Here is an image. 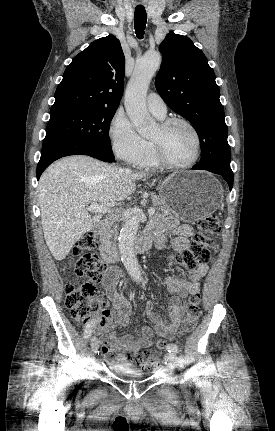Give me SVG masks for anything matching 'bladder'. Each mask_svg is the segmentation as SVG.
<instances>
[{
	"instance_id": "obj_1",
	"label": "bladder",
	"mask_w": 275,
	"mask_h": 431,
	"mask_svg": "<svg viewBox=\"0 0 275 431\" xmlns=\"http://www.w3.org/2000/svg\"><path fill=\"white\" fill-rule=\"evenodd\" d=\"M110 369L116 375H128L134 377H145L149 375V373L141 371L132 365L121 363H111Z\"/></svg>"
}]
</instances>
